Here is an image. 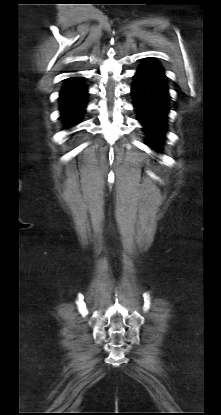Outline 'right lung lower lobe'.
Masks as SVG:
<instances>
[{"instance_id": "right-lung-lower-lobe-1", "label": "right lung lower lobe", "mask_w": 221, "mask_h": 415, "mask_svg": "<svg viewBox=\"0 0 221 415\" xmlns=\"http://www.w3.org/2000/svg\"><path fill=\"white\" fill-rule=\"evenodd\" d=\"M87 95V88L79 77H71L66 80L59 97L60 118L65 123V128L79 123V119L85 111Z\"/></svg>"}]
</instances>
